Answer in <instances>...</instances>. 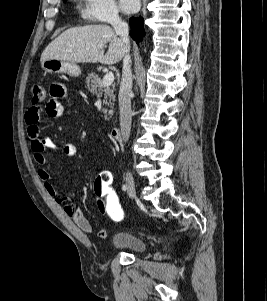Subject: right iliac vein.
Masks as SVG:
<instances>
[{
	"label": "right iliac vein",
	"instance_id": "obj_1",
	"mask_svg": "<svg viewBox=\"0 0 267 301\" xmlns=\"http://www.w3.org/2000/svg\"><path fill=\"white\" fill-rule=\"evenodd\" d=\"M125 181H126L127 193L129 197L136 198L135 182L132 174L129 171L126 173Z\"/></svg>",
	"mask_w": 267,
	"mask_h": 301
}]
</instances>
